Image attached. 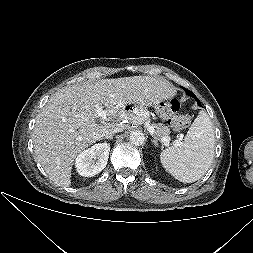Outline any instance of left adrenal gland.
Listing matches in <instances>:
<instances>
[{"label":"left adrenal gland","mask_w":253,"mask_h":253,"mask_svg":"<svg viewBox=\"0 0 253 253\" xmlns=\"http://www.w3.org/2000/svg\"><path fill=\"white\" fill-rule=\"evenodd\" d=\"M153 136V140H152V142L154 143V145L155 146H158V141H159V139L155 136V135H152Z\"/></svg>","instance_id":"1"}]
</instances>
